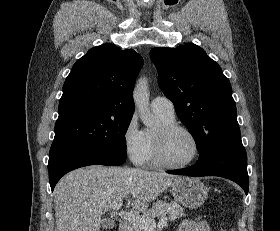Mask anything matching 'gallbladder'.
Masks as SVG:
<instances>
[{
	"label": "gallbladder",
	"mask_w": 280,
	"mask_h": 231,
	"mask_svg": "<svg viewBox=\"0 0 280 231\" xmlns=\"http://www.w3.org/2000/svg\"><path fill=\"white\" fill-rule=\"evenodd\" d=\"M115 225V221H113V219H110V217H105V219H103L102 221V227H105V229H113Z\"/></svg>",
	"instance_id": "gallbladder-1"
}]
</instances>
